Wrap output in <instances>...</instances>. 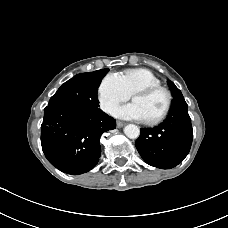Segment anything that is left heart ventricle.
Listing matches in <instances>:
<instances>
[{
	"label": "left heart ventricle",
	"instance_id": "obj_1",
	"mask_svg": "<svg viewBox=\"0 0 228 228\" xmlns=\"http://www.w3.org/2000/svg\"><path fill=\"white\" fill-rule=\"evenodd\" d=\"M132 101L139 107L144 120H146L155 118L163 111L166 96L163 92H156L148 96H135Z\"/></svg>",
	"mask_w": 228,
	"mask_h": 228
}]
</instances>
